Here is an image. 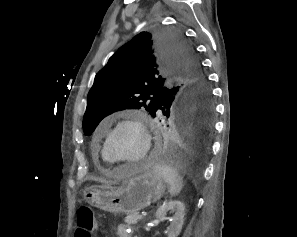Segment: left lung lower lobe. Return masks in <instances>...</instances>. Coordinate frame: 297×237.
<instances>
[{"label":"left lung lower lobe","mask_w":297,"mask_h":237,"mask_svg":"<svg viewBox=\"0 0 297 237\" xmlns=\"http://www.w3.org/2000/svg\"><path fill=\"white\" fill-rule=\"evenodd\" d=\"M171 101L170 118L155 149L158 161L182 167L200 166L208 155L213 132L212 100L192 104Z\"/></svg>","instance_id":"obj_1"}]
</instances>
